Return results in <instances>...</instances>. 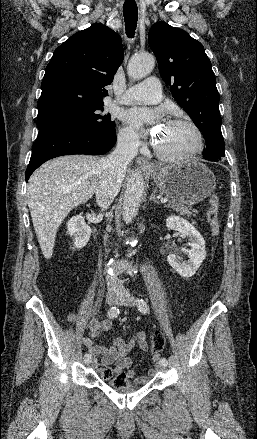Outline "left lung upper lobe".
<instances>
[{
	"instance_id": "obj_1",
	"label": "left lung upper lobe",
	"mask_w": 257,
	"mask_h": 439,
	"mask_svg": "<svg viewBox=\"0 0 257 439\" xmlns=\"http://www.w3.org/2000/svg\"><path fill=\"white\" fill-rule=\"evenodd\" d=\"M148 40L173 98L205 138L207 149L203 157L209 161L223 158L225 143L216 78L203 45L186 31L165 22L152 25Z\"/></svg>"
}]
</instances>
